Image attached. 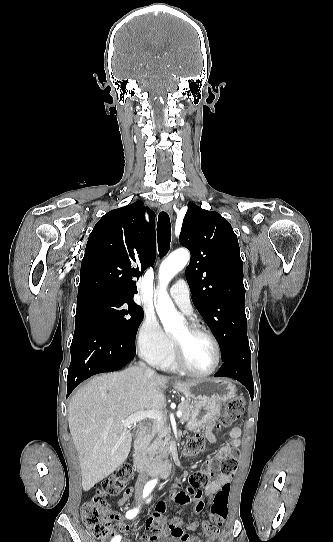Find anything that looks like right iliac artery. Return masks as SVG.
I'll return each mask as SVG.
<instances>
[{"mask_svg":"<svg viewBox=\"0 0 333 542\" xmlns=\"http://www.w3.org/2000/svg\"><path fill=\"white\" fill-rule=\"evenodd\" d=\"M154 486H155V483H149V484L145 485L144 490H143V497H144V498H145L146 496L149 495V493L152 491V489L154 488ZM138 511H139V510H138L137 508H136V509H133V510H129V511H127V513H126V517H127L128 519H132V518H134V517L137 515ZM120 540H121V536L119 535V536H115V537L112 539L111 542H120Z\"/></svg>","mask_w":333,"mask_h":542,"instance_id":"right-iliac-artery-1","label":"right iliac artery"}]
</instances>
